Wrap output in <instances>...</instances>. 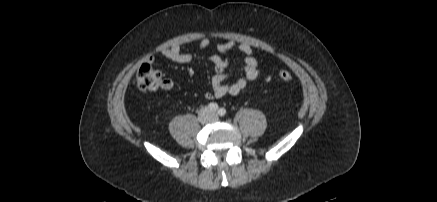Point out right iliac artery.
<instances>
[{"mask_svg": "<svg viewBox=\"0 0 437 202\" xmlns=\"http://www.w3.org/2000/svg\"><path fill=\"white\" fill-rule=\"evenodd\" d=\"M208 108L211 110V111H217L218 110V104L217 103H214V102H211V103H209L208 104Z\"/></svg>", "mask_w": 437, "mask_h": 202, "instance_id": "1", "label": "right iliac artery"}]
</instances>
